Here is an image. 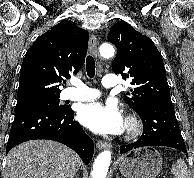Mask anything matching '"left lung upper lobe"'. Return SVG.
<instances>
[{"instance_id": "5c2ea615", "label": "left lung upper lobe", "mask_w": 194, "mask_h": 178, "mask_svg": "<svg viewBox=\"0 0 194 178\" xmlns=\"http://www.w3.org/2000/svg\"><path fill=\"white\" fill-rule=\"evenodd\" d=\"M108 41L117 48L113 72L132 79L133 88L124 97L132 109L171 102L163 59L150 38L121 21L111 27Z\"/></svg>"}]
</instances>
